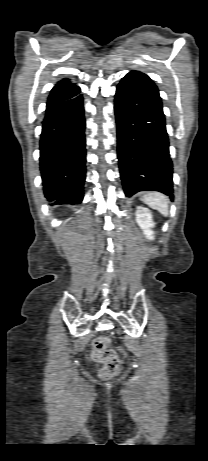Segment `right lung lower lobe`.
Returning a JSON list of instances; mask_svg holds the SVG:
<instances>
[{"instance_id":"98d812e1","label":"right lung lower lobe","mask_w":208,"mask_h":461,"mask_svg":"<svg viewBox=\"0 0 208 461\" xmlns=\"http://www.w3.org/2000/svg\"><path fill=\"white\" fill-rule=\"evenodd\" d=\"M83 97L47 105L40 138V170L45 196L53 204H77L85 181Z\"/></svg>"}]
</instances>
